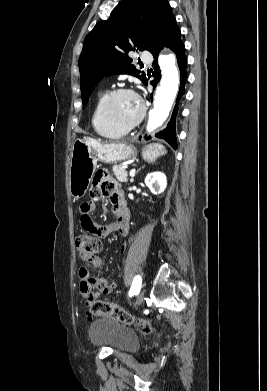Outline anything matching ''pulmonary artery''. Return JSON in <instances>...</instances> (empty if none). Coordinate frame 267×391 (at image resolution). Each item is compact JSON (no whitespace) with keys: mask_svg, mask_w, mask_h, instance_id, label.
<instances>
[{"mask_svg":"<svg viewBox=\"0 0 267 391\" xmlns=\"http://www.w3.org/2000/svg\"><path fill=\"white\" fill-rule=\"evenodd\" d=\"M141 59H142V61H144L146 63H150L152 61V56H151V54L145 52L142 54Z\"/></svg>","mask_w":267,"mask_h":391,"instance_id":"pulmonary-artery-1","label":"pulmonary artery"}]
</instances>
